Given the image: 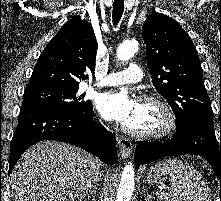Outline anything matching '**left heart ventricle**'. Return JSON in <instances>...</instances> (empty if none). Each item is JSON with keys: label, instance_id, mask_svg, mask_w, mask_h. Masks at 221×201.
I'll use <instances>...</instances> for the list:
<instances>
[{"label": "left heart ventricle", "instance_id": "left-heart-ventricle-1", "mask_svg": "<svg viewBox=\"0 0 221 201\" xmlns=\"http://www.w3.org/2000/svg\"><path fill=\"white\" fill-rule=\"evenodd\" d=\"M127 125L137 130H156L162 125V116L155 105L151 103H137L135 115Z\"/></svg>", "mask_w": 221, "mask_h": 201}]
</instances>
